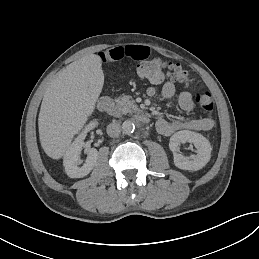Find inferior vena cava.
Listing matches in <instances>:
<instances>
[{
  "label": "inferior vena cava",
  "instance_id": "obj_1",
  "mask_svg": "<svg viewBox=\"0 0 259 259\" xmlns=\"http://www.w3.org/2000/svg\"><path fill=\"white\" fill-rule=\"evenodd\" d=\"M121 132V126L117 122H112L107 126V134L112 137L116 138L120 135Z\"/></svg>",
  "mask_w": 259,
  "mask_h": 259
}]
</instances>
